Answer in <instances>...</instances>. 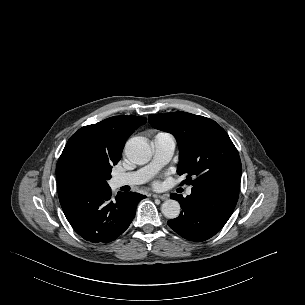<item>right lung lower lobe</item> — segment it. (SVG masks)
I'll return each instance as SVG.
<instances>
[{"instance_id":"obj_1","label":"right lung lower lobe","mask_w":305,"mask_h":305,"mask_svg":"<svg viewBox=\"0 0 305 305\" xmlns=\"http://www.w3.org/2000/svg\"><path fill=\"white\" fill-rule=\"evenodd\" d=\"M143 198L146 196L134 192L118 193L112 198L110 187L80 189L59 195L70 225L82 238L93 243H108L122 234Z\"/></svg>"}]
</instances>
